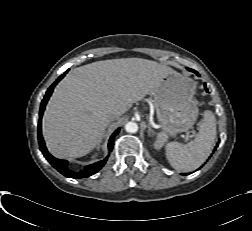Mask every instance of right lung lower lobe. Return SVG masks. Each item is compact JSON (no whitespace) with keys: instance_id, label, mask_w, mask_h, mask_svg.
Wrapping results in <instances>:
<instances>
[{"instance_id":"obj_1","label":"right lung lower lobe","mask_w":252,"mask_h":231,"mask_svg":"<svg viewBox=\"0 0 252 231\" xmlns=\"http://www.w3.org/2000/svg\"><path fill=\"white\" fill-rule=\"evenodd\" d=\"M69 70V69H68ZM68 70L61 75L47 90L46 95L44 97V99L42 100L41 103V108H40V112H39V123H38V139H39V146H40V150L43 153L44 157L48 160V162L56 169L58 170L61 174H63L66 177L69 178H85V177H89L95 173H97L106 163L108 157H106L104 160L99 161L97 163H94L92 165H89L85 168V170L80 171V172H73L71 171L68 166H67V161L65 160H59L56 159L55 157H53L46 149L43 137H42V131H41V122H42V115L46 106V103L48 102V99L50 98L54 87L56 86V84L65 76V74L68 72ZM119 128L112 134V136L110 137V141L108 144V148L109 151H111L112 149V145H113V141L115 136L118 134L119 132Z\"/></svg>"}]
</instances>
